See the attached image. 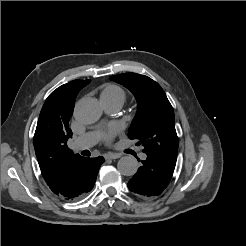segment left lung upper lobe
<instances>
[{"label": "left lung upper lobe", "instance_id": "obj_1", "mask_svg": "<svg viewBox=\"0 0 246 246\" xmlns=\"http://www.w3.org/2000/svg\"><path fill=\"white\" fill-rule=\"evenodd\" d=\"M110 79L128 88L137 100V114L128 137L142 143L144 153L175 166L178 137L174 111L161 86L149 77L136 73L119 74Z\"/></svg>", "mask_w": 246, "mask_h": 246}]
</instances>
